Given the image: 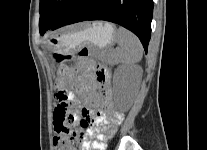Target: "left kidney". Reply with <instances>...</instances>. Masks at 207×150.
<instances>
[{
	"mask_svg": "<svg viewBox=\"0 0 207 150\" xmlns=\"http://www.w3.org/2000/svg\"><path fill=\"white\" fill-rule=\"evenodd\" d=\"M142 69L121 65L113 77L114 102L121 112H127L139 91Z\"/></svg>",
	"mask_w": 207,
	"mask_h": 150,
	"instance_id": "obj_1",
	"label": "left kidney"
}]
</instances>
